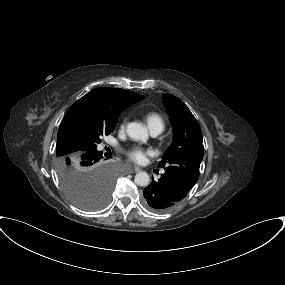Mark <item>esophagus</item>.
I'll return each instance as SVG.
<instances>
[{"label":"esophagus","mask_w":285,"mask_h":285,"mask_svg":"<svg viewBox=\"0 0 285 285\" xmlns=\"http://www.w3.org/2000/svg\"><path fill=\"white\" fill-rule=\"evenodd\" d=\"M141 170H142V169H141L140 167H136V166L134 167V171H135V172H139V171H141Z\"/></svg>","instance_id":"esophagus-1"}]
</instances>
